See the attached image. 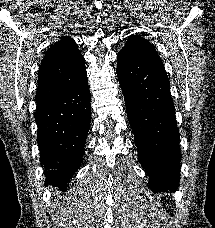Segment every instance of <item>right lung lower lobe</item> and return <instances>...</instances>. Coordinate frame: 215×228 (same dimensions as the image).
I'll use <instances>...</instances> for the list:
<instances>
[{
  "mask_svg": "<svg viewBox=\"0 0 215 228\" xmlns=\"http://www.w3.org/2000/svg\"><path fill=\"white\" fill-rule=\"evenodd\" d=\"M37 143L46 184L62 189L80 167L90 128L91 104L87 74L69 82L66 91L37 107Z\"/></svg>",
  "mask_w": 215,
  "mask_h": 228,
  "instance_id": "98d812e1",
  "label": "right lung lower lobe"
}]
</instances>
